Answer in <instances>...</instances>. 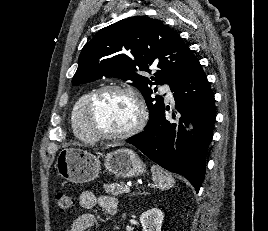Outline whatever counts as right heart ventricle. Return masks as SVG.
<instances>
[{
  "label": "right heart ventricle",
  "instance_id": "1",
  "mask_svg": "<svg viewBox=\"0 0 268 231\" xmlns=\"http://www.w3.org/2000/svg\"><path fill=\"white\" fill-rule=\"evenodd\" d=\"M94 89H89L84 92L74 103L71 109V125L74 131V134L81 140L91 143L94 142L92 134L89 132L85 119H84V108L88 97L92 94Z\"/></svg>",
  "mask_w": 268,
  "mask_h": 231
}]
</instances>
